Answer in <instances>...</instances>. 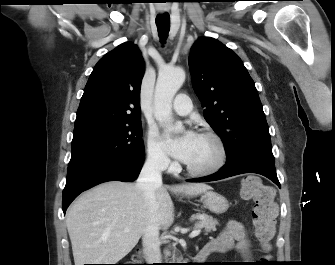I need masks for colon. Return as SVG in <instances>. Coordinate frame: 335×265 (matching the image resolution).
Listing matches in <instances>:
<instances>
[{
    "mask_svg": "<svg viewBox=\"0 0 335 265\" xmlns=\"http://www.w3.org/2000/svg\"><path fill=\"white\" fill-rule=\"evenodd\" d=\"M240 196L244 200L254 202L253 224L255 235L263 250L269 251L271 247L270 242L275 234L276 218L278 215L274 189L263 184L258 177L248 176L242 182ZM132 261L133 263H139L141 261L140 255H135ZM261 263L264 264L266 262Z\"/></svg>",
    "mask_w": 335,
    "mask_h": 265,
    "instance_id": "obj_1",
    "label": "colon"
}]
</instances>
